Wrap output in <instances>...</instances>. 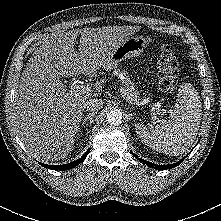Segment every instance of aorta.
<instances>
[{"instance_id": "1", "label": "aorta", "mask_w": 221, "mask_h": 221, "mask_svg": "<svg viewBox=\"0 0 221 221\" xmlns=\"http://www.w3.org/2000/svg\"><path fill=\"white\" fill-rule=\"evenodd\" d=\"M106 121L110 125L118 126L122 123V113L118 109L111 110L106 116Z\"/></svg>"}]
</instances>
